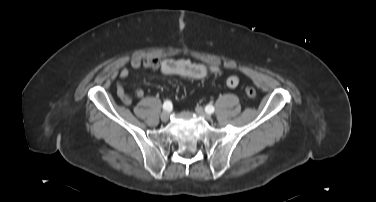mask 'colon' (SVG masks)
Listing matches in <instances>:
<instances>
[{
    "mask_svg": "<svg viewBox=\"0 0 376 202\" xmlns=\"http://www.w3.org/2000/svg\"><path fill=\"white\" fill-rule=\"evenodd\" d=\"M245 93L248 97H255L257 92L255 90V88L251 87V86H247L245 88Z\"/></svg>",
    "mask_w": 376,
    "mask_h": 202,
    "instance_id": "colon-1",
    "label": "colon"
}]
</instances>
